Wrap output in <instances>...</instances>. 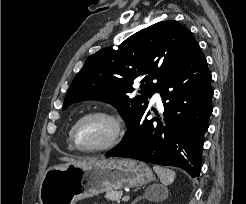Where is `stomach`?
Returning <instances> with one entry per match:
<instances>
[{
  "label": "stomach",
  "mask_w": 246,
  "mask_h": 204,
  "mask_svg": "<svg viewBox=\"0 0 246 204\" xmlns=\"http://www.w3.org/2000/svg\"><path fill=\"white\" fill-rule=\"evenodd\" d=\"M153 180L151 168L132 159H87L50 167L39 188L40 204H75L103 192L140 187Z\"/></svg>",
  "instance_id": "obj_1"
}]
</instances>
